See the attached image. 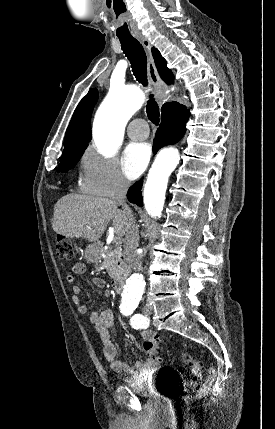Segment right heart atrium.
<instances>
[{
    "label": "right heart atrium",
    "instance_id": "obj_1",
    "mask_svg": "<svg viewBox=\"0 0 275 429\" xmlns=\"http://www.w3.org/2000/svg\"><path fill=\"white\" fill-rule=\"evenodd\" d=\"M82 189L91 195L110 197L125 191L129 181L115 158L87 148L80 159Z\"/></svg>",
    "mask_w": 275,
    "mask_h": 429
}]
</instances>
